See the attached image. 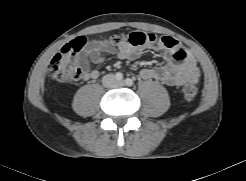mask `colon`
<instances>
[{
    "instance_id": "obj_1",
    "label": "colon",
    "mask_w": 246,
    "mask_h": 181,
    "mask_svg": "<svg viewBox=\"0 0 246 181\" xmlns=\"http://www.w3.org/2000/svg\"><path fill=\"white\" fill-rule=\"evenodd\" d=\"M154 33L135 31L128 35L112 37V42H118L121 39L127 40L131 45L140 47L148 44H155L162 40ZM85 37L79 36L62 50L57 53L50 62L48 72L49 76L57 82H81L85 79L86 73L83 67V61L77 56V53L84 47ZM182 92L187 100H192L198 93L197 86L192 82H187L182 86Z\"/></svg>"
}]
</instances>
